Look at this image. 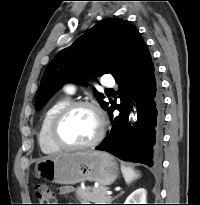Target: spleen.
<instances>
[{"mask_svg":"<svg viewBox=\"0 0 200 205\" xmlns=\"http://www.w3.org/2000/svg\"><path fill=\"white\" fill-rule=\"evenodd\" d=\"M121 171L127 184H130L140 176L138 171L129 166L121 165Z\"/></svg>","mask_w":200,"mask_h":205,"instance_id":"1","label":"spleen"}]
</instances>
